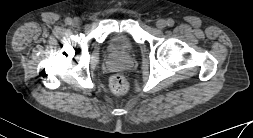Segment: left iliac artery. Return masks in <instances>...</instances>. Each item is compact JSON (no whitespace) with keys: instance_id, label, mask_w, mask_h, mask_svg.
Listing matches in <instances>:
<instances>
[{"instance_id":"obj_1","label":"left iliac artery","mask_w":253,"mask_h":138,"mask_svg":"<svg viewBox=\"0 0 253 138\" xmlns=\"http://www.w3.org/2000/svg\"><path fill=\"white\" fill-rule=\"evenodd\" d=\"M167 25H168L169 27H172V26L174 25V20H173V19H168Z\"/></svg>"}]
</instances>
